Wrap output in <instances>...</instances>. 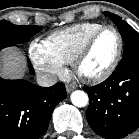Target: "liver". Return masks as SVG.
<instances>
[{
    "label": "liver",
    "mask_w": 139,
    "mask_h": 139,
    "mask_svg": "<svg viewBox=\"0 0 139 139\" xmlns=\"http://www.w3.org/2000/svg\"><path fill=\"white\" fill-rule=\"evenodd\" d=\"M25 58L14 48L5 49L0 56V75L6 78H22L25 71Z\"/></svg>",
    "instance_id": "obj_1"
}]
</instances>
